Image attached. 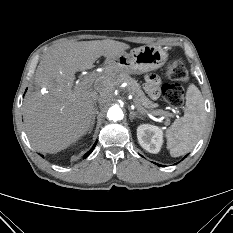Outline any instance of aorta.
I'll return each mask as SVG.
<instances>
[{
    "label": "aorta",
    "instance_id": "1",
    "mask_svg": "<svg viewBox=\"0 0 233 233\" xmlns=\"http://www.w3.org/2000/svg\"><path fill=\"white\" fill-rule=\"evenodd\" d=\"M123 116V111L118 106H112L111 108H109L107 113V117L114 122L122 120Z\"/></svg>",
    "mask_w": 233,
    "mask_h": 233
}]
</instances>
